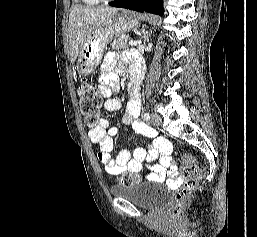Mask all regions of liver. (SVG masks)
Masks as SVG:
<instances>
[{"label": "liver", "instance_id": "obj_1", "mask_svg": "<svg viewBox=\"0 0 257 237\" xmlns=\"http://www.w3.org/2000/svg\"><path fill=\"white\" fill-rule=\"evenodd\" d=\"M116 12L117 9L111 7L75 5L72 8L68 24L70 60L72 64L78 57L81 46L88 35L95 28L107 22Z\"/></svg>", "mask_w": 257, "mask_h": 237}]
</instances>
